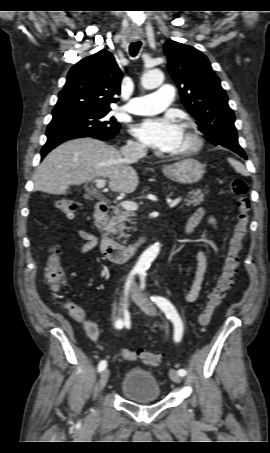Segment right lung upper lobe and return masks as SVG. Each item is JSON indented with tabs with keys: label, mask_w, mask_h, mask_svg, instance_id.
Here are the masks:
<instances>
[{
	"label": "right lung upper lobe",
	"mask_w": 270,
	"mask_h": 453,
	"mask_svg": "<svg viewBox=\"0 0 270 453\" xmlns=\"http://www.w3.org/2000/svg\"><path fill=\"white\" fill-rule=\"evenodd\" d=\"M122 73L107 50L88 56L74 65L66 84L59 92L53 109V118L86 111L110 110V103L117 102Z\"/></svg>",
	"instance_id": "obj_1"
}]
</instances>
